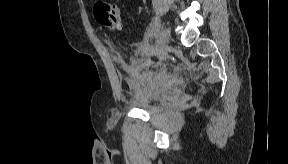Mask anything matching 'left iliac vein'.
Wrapping results in <instances>:
<instances>
[{
    "mask_svg": "<svg viewBox=\"0 0 288 164\" xmlns=\"http://www.w3.org/2000/svg\"><path fill=\"white\" fill-rule=\"evenodd\" d=\"M170 38V29L165 27L161 29L158 33L157 37V45H156V51L157 53H161L165 50L169 43Z\"/></svg>",
    "mask_w": 288,
    "mask_h": 164,
    "instance_id": "4c4485c4",
    "label": "left iliac vein"
}]
</instances>
